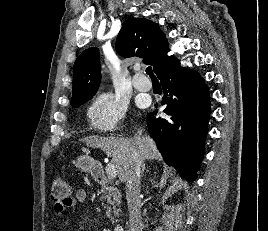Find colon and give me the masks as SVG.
<instances>
[{
  "label": "colon",
  "instance_id": "obj_1",
  "mask_svg": "<svg viewBox=\"0 0 268 231\" xmlns=\"http://www.w3.org/2000/svg\"><path fill=\"white\" fill-rule=\"evenodd\" d=\"M50 195L53 201L59 205L66 206L71 200L70 187L66 180L62 177H56L50 188Z\"/></svg>",
  "mask_w": 268,
  "mask_h": 231
}]
</instances>
